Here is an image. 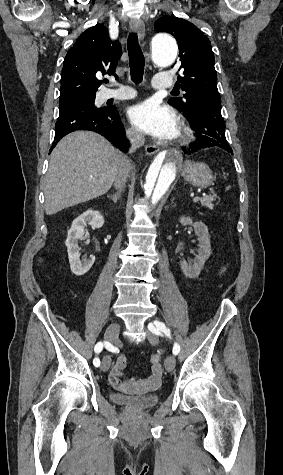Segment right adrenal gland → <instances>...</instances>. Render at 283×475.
Here are the masks:
<instances>
[{"label": "right adrenal gland", "instance_id": "obj_1", "mask_svg": "<svg viewBox=\"0 0 283 475\" xmlns=\"http://www.w3.org/2000/svg\"><path fill=\"white\" fill-rule=\"evenodd\" d=\"M121 196V192H116V194H114V196H107V198H111V200H113L114 204H117V200L118 198H120Z\"/></svg>", "mask_w": 283, "mask_h": 475}]
</instances>
